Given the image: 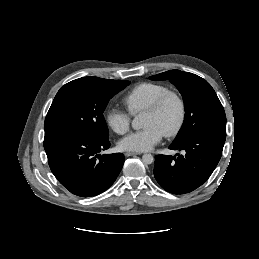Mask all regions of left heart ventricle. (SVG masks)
I'll return each mask as SVG.
<instances>
[{
	"instance_id": "left-heart-ventricle-1",
	"label": "left heart ventricle",
	"mask_w": 259,
	"mask_h": 259,
	"mask_svg": "<svg viewBox=\"0 0 259 259\" xmlns=\"http://www.w3.org/2000/svg\"><path fill=\"white\" fill-rule=\"evenodd\" d=\"M177 116V105L174 100H169L160 113L151 114L146 112L143 125L144 127L155 125L160 128L164 133L175 124Z\"/></svg>"
}]
</instances>
